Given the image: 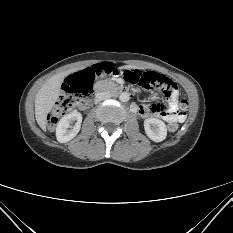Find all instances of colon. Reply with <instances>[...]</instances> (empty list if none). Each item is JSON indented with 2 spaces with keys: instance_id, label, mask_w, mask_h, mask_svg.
I'll list each match as a JSON object with an SVG mask.
<instances>
[{
  "instance_id": "5ec220e1",
  "label": "colon",
  "mask_w": 233,
  "mask_h": 233,
  "mask_svg": "<svg viewBox=\"0 0 233 233\" xmlns=\"http://www.w3.org/2000/svg\"><path fill=\"white\" fill-rule=\"evenodd\" d=\"M117 75L118 70L110 63L95 65L89 69L69 76L64 83V93L59 97L48 115V126L53 128L59 118L65 115L76 104H86L92 98L93 81L97 77L104 75ZM124 78L131 83H137L144 89L159 88L169 91L174 87L171 80L160 74L148 72L142 73L136 70H126L123 72ZM180 112L187 110L188 102L181 100L178 104ZM177 123H169L168 130L174 132L178 129Z\"/></svg>"
}]
</instances>
